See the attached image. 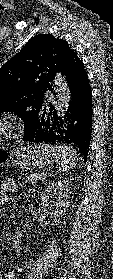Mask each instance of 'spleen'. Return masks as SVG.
<instances>
[{"instance_id":"spleen-1","label":"spleen","mask_w":113,"mask_h":279,"mask_svg":"<svg viewBox=\"0 0 113 279\" xmlns=\"http://www.w3.org/2000/svg\"><path fill=\"white\" fill-rule=\"evenodd\" d=\"M41 146L53 155L57 168L62 172L74 169L79 161V154L73 146L49 144H42Z\"/></svg>"}]
</instances>
